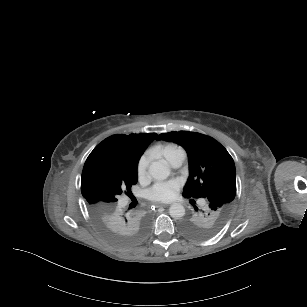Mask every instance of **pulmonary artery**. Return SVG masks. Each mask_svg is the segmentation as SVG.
<instances>
[{"instance_id":"1","label":"pulmonary artery","mask_w":307,"mask_h":307,"mask_svg":"<svg viewBox=\"0 0 307 307\" xmlns=\"http://www.w3.org/2000/svg\"><path fill=\"white\" fill-rule=\"evenodd\" d=\"M161 154L173 169L180 167L185 161L187 155L186 150L180 146L166 147ZM125 205L126 201H122V206Z\"/></svg>"}]
</instances>
